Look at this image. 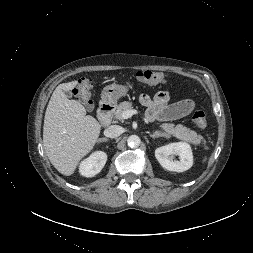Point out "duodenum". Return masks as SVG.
Instances as JSON below:
<instances>
[{
  "label": "duodenum",
  "instance_id": "obj_1",
  "mask_svg": "<svg viewBox=\"0 0 253 253\" xmlns=\"http://www.w3.org/2000/svg\"><path fill=\"white\" fill-rule=\"evenodd\" d=\"M114 111V105L110 101H103L98 109V118L103 126H108Z\"/></svg>",
  "mask_w": 253,
  "mask_h": 253
}]
</instances>
